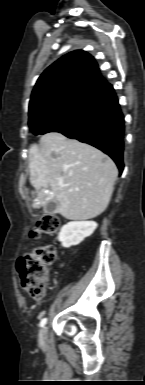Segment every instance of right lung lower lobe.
<instances>
[{
  "instance_id": "1",
  "label": "right lung lower lobe",
  "mask_w": 145,
  "mask_h": 385,
  "mask_svg": "<svg viewBox=\"0 0 145 385\" xmlns=\"http://www.w3.org/2000/svg\"><path fill=\"white\" fill-rule=\"evenodd\" d=\"M55 132L100 149L123 171L124 116L112 86Z\"/></svg>"
}]
</instances>
